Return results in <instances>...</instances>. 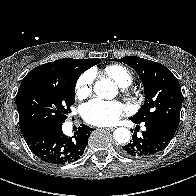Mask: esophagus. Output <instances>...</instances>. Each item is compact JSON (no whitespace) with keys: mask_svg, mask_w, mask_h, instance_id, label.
Listing matches in <instances>:
<instances>
[{"mask_svg":"<svg viewBox=\"0 0 196 196\" xmlns=\"http://www.w3.org/2000/svg\"><path fill=\"white\" fill-rule=\"evenodd\" d=\"M114 129H115L114 127L105 128V130H108V131H113Z\"/></svg>","mask_w":196,"mask_h":196,"instance_id":"obj_1","label":"esophagus"}]
</instances>
